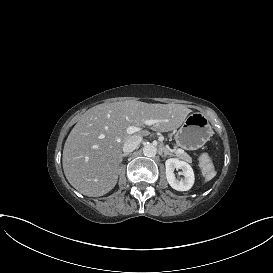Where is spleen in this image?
Wrapping results in <instances>:
<instances>
[{
	"instance_id": "spleen-1",
	"label": "spleen",
	"mask_w": 273,
	"mask_h": 273,
	"mask_svg": "<svg viewBox=\"0 0 273 273\" xmlns=\"http://www.w3.org/2000/svg\"><path fill=\"white\" fill-rule=\"evenodd\" d=\"M216 176V171L215 170H210L206 176H205V181H210L211 179H213Z\"/></svg>"
}]
</instances>
